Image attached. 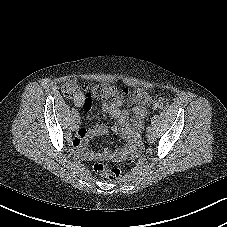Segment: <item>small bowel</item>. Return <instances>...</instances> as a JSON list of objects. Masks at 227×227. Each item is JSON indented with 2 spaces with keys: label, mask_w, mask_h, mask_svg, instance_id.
Returning <instances> with one entry per match:
<instances>
[{
  "label": "small bowel",
  "mask_w": 227,
  "mask_h": 227,
  "mask_svg": "<svg viewBox=\"0 0 227 227\" xmlns=\"http://www.w3.org/2000/svg\"><path fill=\"white\" fill-rule=\"evenodd\" d=\"M73 100L76 106L83 107L85 111H89L92 107V102L88 101L87 97L81 92L77 93L73 97ZM130 101L132 103L130 108H125L123 106L125 102L123 96H117L113 101L104 99L101 105V111L115 119L112 129L119 133L128 142V146L115 152L106 148L102 154H95L86 150L84 147L89 138L104 135L108 131L103 123H98L87 129H79L72 140L73 145L82 151V155L85 158L119 160L134 156L138 153L140 149V134L143 130L147 111L145 104L139 103L133 97L130 98Z\"/></svg>",
  "instance_id": "c3829d8e"
}]
</instances>
